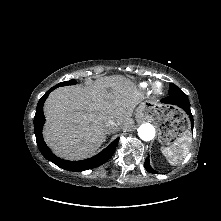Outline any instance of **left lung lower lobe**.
<instances>
[{
  "label": "left lung lower lobe",
  "mask_w": 221,
  "mask_h": 221,
  "mask_svg": "<svg viewBox=\"0 0 221 221\" xmlns=\"http://www.w3.org/2000/svg\"><path fill=\"white\" fill-rule=\"evenodd\" d=\"M162 103L177 106L182 108L190 118L191 127L193 129L194 120L190 110V102L188 100L187 95L184 92L169 94L166 98L161 100ZM145 169L153 174H156V171L150 166L149 158L145 160Z\"/></svg>",
  "instance_id": "left-lung-lower-lobe-1"
}]
</instances>
